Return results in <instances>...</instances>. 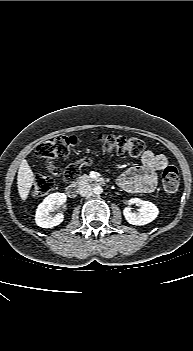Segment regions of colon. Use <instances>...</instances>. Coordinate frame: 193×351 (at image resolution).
<instances>
[{
  "instance_id": "5ec220e1",
  "label": "colon",
  "mask_w": 193,
  "mask_h": 351,
  "mask_svg": "<svg viewBox=\"0 0 193 351\" xmlns=\"http://www.w3.org/2000/svg\"><path fill=\"white\" fill-rule=\"evenodd\" d=\"M106 152L117 153L119 155H129L132 157L140 156L145 150V144L141 139L134 137L118 136L114 134H101L96 138ZM78 139L75 136H56L41 142L36 148L38 157L51 160L57 157L68 156L77 146ZM91 160L85 158L82 161L68 166L63 171L65 182H72L80 175L81 166L90 164ZM50 170L55 171L53 167ZM180 184V173L174 166H167L162 174V187L164 194L168 197L173 196ZM54 187V180L48 175L36 177L32 194L34 197L47 195Z\"/></svg>"
}]
</instances>
